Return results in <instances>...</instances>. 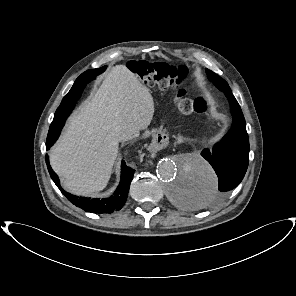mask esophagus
<instances>
[{
    "mask_svg": "<svg viewBox=\"0 0 296 296\" xmlns=\"http://www.w3.org/2000/svg\"><path fill=\"white\" fill-rule=\"evenodd\" d=\"M165 143H167V138L163 139L162 145H164Z\"/></svg>",
    "mask_w": 296,
    "mask_h": 296,
    "instance_id": "obj_1",
    "label": "esophagus"
}]
</instances>
